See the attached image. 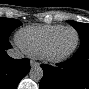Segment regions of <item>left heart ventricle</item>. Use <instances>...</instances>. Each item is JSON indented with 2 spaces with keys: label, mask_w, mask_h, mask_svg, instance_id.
Here are the masks:
<instances>
[{
  "label": "left heart ventricle",
  "mask_w": 89,
  "mask_h": 89,
  "mask_svg": "<svg viewBox=\"0 0 89 89\" xmlns=\"http://www.w3.org/2000/svg\"><path fill=\"white\" fill-rule=\"evenodd\" d=\"M76 35L72 30L62 32L51 44L50 53L53 55H61L69 51L74 45Z\"/></svg>",
  "instance_id": "1"
}]
</instances>
